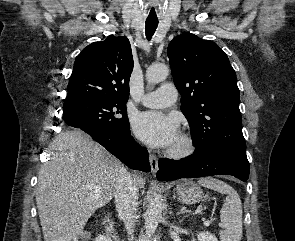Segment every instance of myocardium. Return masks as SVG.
<instances>
[{
  "label": "myocardium",
  "instance_id": "f54148a6",
  "mask_svg": "<svg viewBox=\"0 0 295 241\" xmlns=\"http://www.w3.org/2000/svg\"><path fill=\"white\" fill-rule=\"evenodd\" d=\"M197 151V142L191 133H183L178 137L177 144L168 150V155L174 159H186Z\"/></svg>",
  "mask_w": 295,
  "mask_h": 241
}]
</instances>
